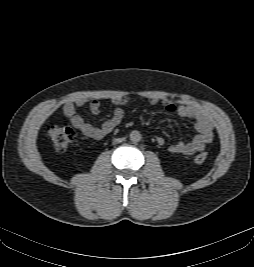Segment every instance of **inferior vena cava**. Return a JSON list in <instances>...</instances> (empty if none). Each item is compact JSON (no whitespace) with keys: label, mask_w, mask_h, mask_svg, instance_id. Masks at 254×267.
<instances>
[{"label":"inferior vena cava","mask_w":254,"mask_h":267,"mask_svg":"<svg viewBox=\"0 0 254 267\" xmlns=\"http://www.w3.org/2000/svg\"><path fill=\"white\" fill-rule=\"evenodd\" d=\"M122 141H123L122 138H117V139H114V140H113V144H117V143H120V142H122Z\"/></svg>","instance_id":"inferior-vena-cava-1"}]
</instances>
